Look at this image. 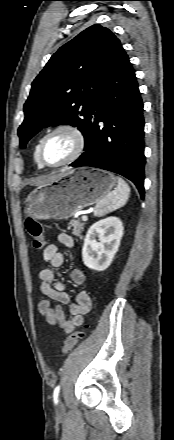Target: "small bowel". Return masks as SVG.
<instances>
[{
	"label": "small bowel",
	"mask_w": 174,
	"mask_h": 440,
	"mask_svg": "<svg viewBox=\"0 0 174 440\" xmlns=\"http://www.w3.org/2000/svg\"><path fill=\"white\" fill-rule=\"evenodd\" d=\"M58 241L65 247H72L74 242L70 235L61 233ZM43 259L52 267H61L64 263V256L55 244L47 245L42 252ZM40 287L43 298L38 304V310L45 320L57 326L65 333L72 332L76 327L82 325L84 316L91 309V298L87 291H81L76 297V302L72 303L68 293L65 291L64 283L59 280L54 271L50 268L41 270L39 274ZM70 280L77 285H82L86 281L85 273L75 268L70 273ZM51 301L56 302L52 305ZM62 305H69L70 317L67 318Z\"/></svg>",
	"instance_id": "small-bowel-1"
}]
</instances>
